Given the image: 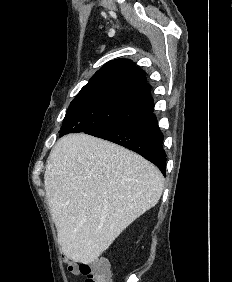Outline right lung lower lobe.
<instances>
[{"label": "right lung lower lobe", "instance_id": "1", "mask_svg": "<svg viewBox=\"0 0 232 282\" xmlns=\"http://www.w3.org/2000/svg\"><path fill=\"white\" fill-rule=\"evenodd\" d=\"M133 150L155 164L165 176L166 153L163 149V134L155 114L113 128H102L89 133Z\"/></svg>", "mask_w": 232, "mask_h": 282}]
</instances>
